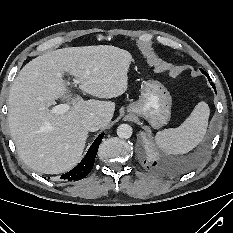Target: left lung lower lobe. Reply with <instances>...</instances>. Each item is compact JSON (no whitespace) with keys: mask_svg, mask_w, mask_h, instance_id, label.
<instances>
[{"mask_svg":"<svg viewBox=\"0 0 233 233\" xmlns=\"http://www.w3.org/2000/svg\"><path fill=\"white\" fill-rule=\"evenodd\" d=\"M202 72H203V74H204L205 76H207L208 80L210 81L211 79H210L209 75H208L206 72H204V71H202ZM211 86H212L213 89L216 91L215 85H214L213 83H211ZM155 165H156V162L153 164V166H155Z\"/></svg>","mask_w":233,"mask_h":233,"instance_id":"0a47b994","label":"left lung lower lobe"}]
</instances>
